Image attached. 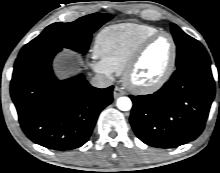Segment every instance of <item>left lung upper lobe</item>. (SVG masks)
<instances>
[{
	"mask_svg": "<svg viewBox=\"0 0 220 173\" xmlns=\"http://www.w3.org/2000/svg\"><path fill=\"white\" fill-rule=\"evenodd\" d=\"M171 31L177 45V70L200 63H210L209 55L199 41L184 33L175 24H171Z\"/></svg>",
	"mask_w": 220,
	"mask_h": 173,
	"instance_id": "1",
	"label": "left lung upper lobe"
}]
</instances>
